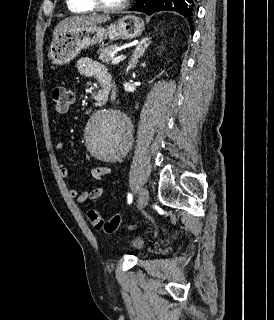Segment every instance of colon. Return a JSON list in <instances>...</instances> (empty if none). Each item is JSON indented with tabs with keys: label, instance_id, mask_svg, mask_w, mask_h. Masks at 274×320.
Listing matches in <instances>:
<instances>
[{
	"label": "colon",
	"instance_id": "5ec220e1",
	"mask_svg": "<svg viewBox=\"0 0 274 320\" xmlns=\"http://www.w3.org/2000/svg\"><path fill=\"white\" fill-rule=\"evenodd\" d=\"M51 99L55 105V110L59 114L67 112L69 106L73 103V95L70 90L64 86H56L51 90ZM89 218L94 228L107 234L115 233L121 223V214L116 213L111 219L105 220L97 211L89 212Z\"/></svg>",
	"mask_w": 274,
	"mask_h": 320
}]
</instances>
